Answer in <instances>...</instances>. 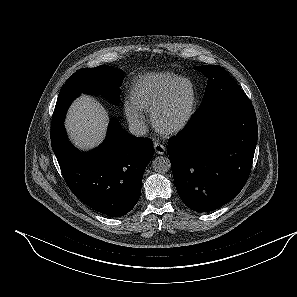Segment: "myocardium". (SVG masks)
Listing matches in <instances>:
<instances>
[{
	"label": "myocardium",
	"instance_id": "myocardium-1",
	"mask_svg": "<svg viewBox=\"0 0 297 297\" xmlns=\"http://www.w3.org/2000/svg\"><path fill=\"white\" fill-rule=\"evenodd\" d=\"M185 83L189 88V101L185 112L182 116L173 124L169 126H163L159 123V117L162 112L171 103L180 84ZM197 103V94L193 82L185 77H178L170 86L164 97L152 108L150 111V122L153 128L160 134L165 136H171L182 131L191 121Z\"/></svg>",
	"mask_w": 297,
	"mask_h": 297
}]
</instances>
